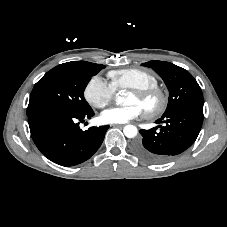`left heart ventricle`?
<instances>
[{
  "label": "left heart ventricle",
  "mask_w": 227,
  "mask_h": 227,
  "mask_svg": "<svg viewBox=\"0 0 227 227\" xmlns=\"http://www.w3.org/2000/svg\"><path fill=\"white\" fill-rule=\"evenodd\" d=\"M125 103L128 105L131 104L138 105L142 109V111H144L148 108H151L154 105V100L141 101L132 93H130L126 98Z\"/></svg>",
  "instance_id": "obj_1"
}]
</instances>
